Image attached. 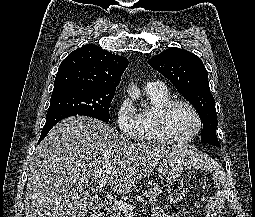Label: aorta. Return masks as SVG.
Here are the masks:
<instances>
[{
	"label": "aorta",
	"instance_id": "762f6f07",
	"mask_svg": "<svg viewBox=\"0 0 255 217\" xmlns=\"http://www.w3.org/2000/svg\"><path fill=\"white\" fill-rule=\"evenodd\" d=\"M128 94L133 100H138L141 97L140 89L134 83L129 85Z\"/></svg>",
	"mask_w": 255,
	"mask_h": 217
}]
</instances>
